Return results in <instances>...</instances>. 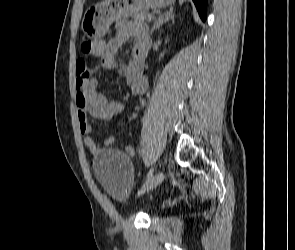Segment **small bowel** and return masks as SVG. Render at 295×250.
Wrapping results in <instances>:
<instances>
[{
	"label": "small bowel",
	"instance_id": "obj_1",
	"mask_svg": "<svg viewBox=\"0 0 295 250\" xmlns=\"http://www.w3.org/2000/svg\"><path fill=\"white\" fill-rule=\"evenodd\" d=\"M134 39L131 58L120 61L117 53L122 44L128 38ZM150 46V39L144 28L136 27L132 23L122 22L116 27V36L108 42L100 41L98 49L92 53L100 59V65L95 70H117L126 79L134 95H142L148 85V79L144 75V60ZM93 71L84 59L76 62V105L79 128L84 136V144L87 149L96 154L100 151L99 144L91 137L92 126L90 118L107 121L120 114L123 104L117 100L107 99L97 90L98 82L92 76ZM114 142L113 136L104 140L105 146ZM125 152L133 156L134 149L125 147Z\"/></svg>",
	"mask_w": 295,
	"mask_h": 250
}]
</instances>
